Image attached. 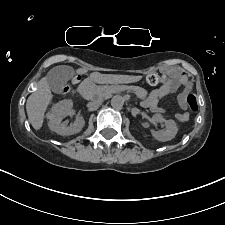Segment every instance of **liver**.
Listing matches in <instances>:
<instances>
[{"label": "liver", "mask_w": 225, "mask_h": 225, "mask_svg": "<svg viewBox=\"0 0 225 225\" xmlns=\"http://www.w3.org/2000/svg\"><path fill=\"white\" fill-rule=\"evenodd\" d=\"M77 74L87 73L86 68L76 70ZM90 80L98 84L128 83L139 80V77H128L122 75L101 74L93 72L90 74ZM52 100V94L47 82L43 77L37 84L36 90L28 97L26 102V111L29 122L35 130H39L44 121L45 111Z\"/></svg>", "instance_id": "obj_1"}]
</instances>
